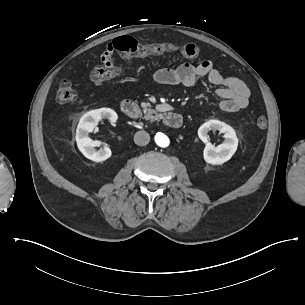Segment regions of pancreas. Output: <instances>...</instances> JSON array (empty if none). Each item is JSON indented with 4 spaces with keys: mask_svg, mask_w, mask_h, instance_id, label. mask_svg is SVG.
Segmentation results:
<instances>
[{
    "mask_svg": "<svg viewBox=\"0 0 305 305\" xmlns=\"http://www.w3.org/2000/svg\"><path fill=\"white\" fill-rule=\"evenodd\" d=\"M141 107H142V109L145 113L144 118L146 120H151L152 122H154V121H160V120L163 119L162 114H156V111L151 109V104L150 103L142 102ZM153 114H156V115L154 116Z\"/></svg>",
    "mask_w": 305,
    "mask_h": 305,
    "instance_id": "obj_1",
    "label": "pancreas"
}]
</instances>
